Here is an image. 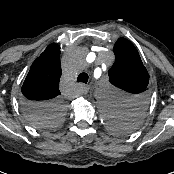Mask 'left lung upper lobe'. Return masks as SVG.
<instances>
[{"label": "left lung upper lobe", "mask_w": 174, "mask_h": 174, "mask_svg": "<svg viewBox=\"0 0 174 174\" xmlns=\"http://www.w3.org/2000/svg\"><path fill=\"white\" fill-rule=\"evenodd\" d=\"M115 63L109 70V81L133 94L132 101L127 105L123 115L109 116L112 129L119 134L132 132L140 123L147 106L144 94L149 82L148 72L143 65L137 49L125 38H120L114 45Z\"/></svg>", "instance_id": "5c2ea615"}]
</instances>
